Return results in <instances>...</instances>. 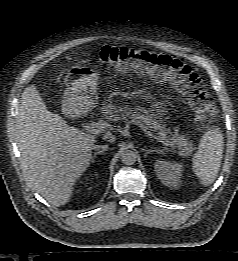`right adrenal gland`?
Here are the masks:
<instances>
[{
	"label": "right adrenal gland",
	"mask_w": 238,
	"mask_h": 261,
	"mask_svg": "<svg viewBox=\"0 0 238 261\" xmlns=\"http://www.w3.org/2000/svg\"><path fill=\"white\" fill-rule=\"evenodd\" d=\"M102 148H103L102 150H100V151L94 153V157H95L96 155H98V154H104V153H105V151L107 150V148H106L105 146H102Z\"/></svg>",
	"instance_id": "obj_1"
}]
</instances>
